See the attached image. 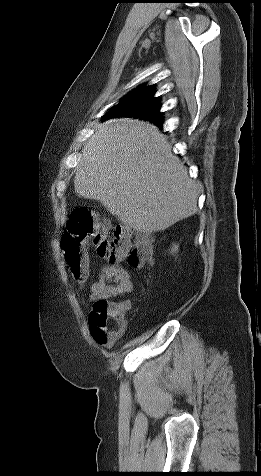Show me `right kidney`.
<instances>
[{"label":"right kidney","instance_id":"ca27d5eb","mask_svg":"<svg viewBox=\"0 0 261 476\" xmlns=\"http://www.w3.org/2000/svg\"><path fill=\"white\" fill-rule=\"evenodd\" d=\"M171 254L176 253L178 251V245L173 244L171 250H169Z\"/></svg>","mask_w":261,"mask_h":476}]
</instances>
